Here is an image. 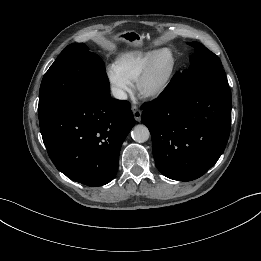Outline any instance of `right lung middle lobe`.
<instances>
[{"instance_id": "obj_1", "label": "right lung middle lobe", "mask_w": 261, "mask_h": 261, "mask_svg": "<svg viewBox=\"0 0 261 261\" xmlns=\"http://www.w3.org/2000/svg\"><path fill=\"white\" fill-rule=\"evenodd\" d=\"M102 59L84 43L68 45L42 79L38 116L80 92H109Z\"/></svg>"}]
</instances>
